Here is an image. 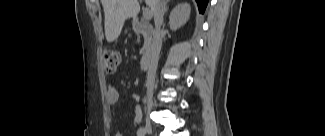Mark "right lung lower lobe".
<instances>
[{"label":"right lung lower lobe","mask_w":325,"mask_h":136,"mask_svg":"<svg viewBox=\"0 0 325 136\" xmlns=\"http://www.w3.org/2000/svg\"><path fill=\"white\" fill-rule=\"evenodd\" d=\"M197 4H198V8H199V12L200 13H204L208 0H196Z\"/></svg>","instance_id":"1"}]
</instances>
